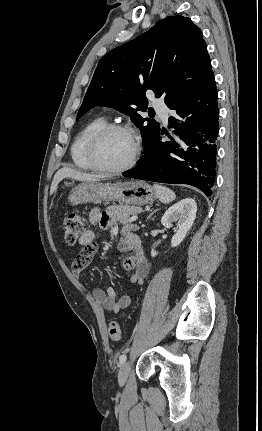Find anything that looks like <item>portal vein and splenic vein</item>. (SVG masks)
<instances>
[{
  "mask_svg": "<svg viewBox=\"0 0 262 431\" xmlns=\"http://www.w3.org/2000/svg\"><path fill=\"white\" fill-rule=\"evenodd\" d=\"M137 219H138V216H137V215H134V216H132V217H131V219H130V220H131V221H136Z\"/></svg>",
  "mask_w": 262,
  "mask_h": 431,
  "instance_id": "obj_1",
  "label": "portal vein and splenic vein"
}]
</instances>
